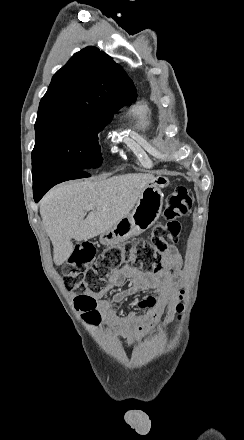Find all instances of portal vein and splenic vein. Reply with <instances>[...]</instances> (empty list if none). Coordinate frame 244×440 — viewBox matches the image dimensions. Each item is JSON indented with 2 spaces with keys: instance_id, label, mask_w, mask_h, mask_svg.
Segmentation results:
<instances>
[{
  "instance_id": "18ae733b",
  "label": "portal vein and splenic vein",
  "mask_w": 244,
  "mask_h": 440,
  "mask_svg": "<svg viewBox=\"0 0 244 440\" xmlns=\"http://www.w3.org/2000/svg\"><path fill=\"white\" fill-rule=\"evenodd\" d=\"M88 210H93L92 206H88Z\"/></svg>"
}]
</instances>
